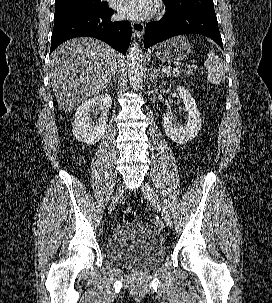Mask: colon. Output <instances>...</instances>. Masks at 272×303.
<instances>
[{
  "mask_svg": "<svg viewBox=\"0 0 272 303\" xmlns=\"http://www.w3.org/2000/svg\"><path fill=\"white\" fill-rule=\"evenodd\" d=\"M122 219L125 223H132L136 220V214L133 210L127 209L123 212Z\"/></svg>",
  "mask_w": 272,
  "mask_h": 303,
  "instance_id": "obj_1",
  "label": "colon"
}]
</instances>
